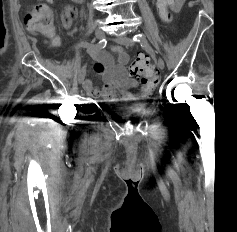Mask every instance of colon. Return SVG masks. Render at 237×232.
I'll list each match as a JSON object with an SVG mask.
<instances>
[{"label": "colon", "instance_id": "1", "mask_svg": "<svg viewBox=\"0 0 237 232\" xmlns=\"http://www.w3.org/2000/svg\"><path fill=\"white\" fill-rule=\"evenodd\" d=\"M53 0H47L52 2ZM172 0H157L156 7L160 18L164 22L172 20L171 4ZM75 12L70 10L69 16H73ZM27 29L35 35H42L52 44H56L57 40L54 35L53 13L47 4H37L33 6L25 16ZM130 73L134 77L141 79V84L145 90H152L158 83L159 77L155 65L150 62L147 56L139 54L130 66Z\"/></svg>", "mask_w": 237, "mask_h": 232}]
</instances>
